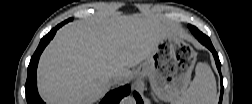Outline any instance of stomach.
Listing matches in <instances>:
<instances>
[{"instance_id":"obj_1","label":"stomach","mask_w":252,"mask_h":104,"mask_svg":"<svg viewBox=\"0 0 252 104\" xmlns=\"http://www.w3.org/2000/svg\"><path fill=\"white\" fill-rule=\"evenodd\" d=\"M196 56L193 48L171 30L135 74L139 78H148L160 100L175 103L190 84Z\"/></svg>"}]
</instances>
